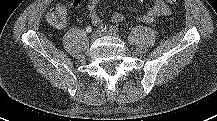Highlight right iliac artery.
I'll return each instance as SVG.
<instances>
[{
  "label": "right iliac artery",
  "mask_w": 217,
  "mask_h": 121,
  "mask_svg": "<svg viewBox=\"0 0 217 121\" xmlns=\"http://www.w3.org/2000/svg\"><path fill=\"white\" fill-rule=\"evenodd\" d=\"M106 29H107V27H106V25L105 24H101L100 26H99V28H98V30L99 31H106Z\"/></svg>",
  "instance_id": "82829eb1"
}]
</instances>
